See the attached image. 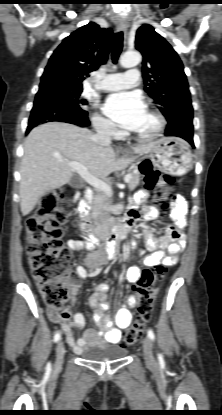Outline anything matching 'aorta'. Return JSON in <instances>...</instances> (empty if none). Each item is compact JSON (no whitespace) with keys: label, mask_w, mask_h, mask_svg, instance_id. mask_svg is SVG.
Masks as SVG:
<instances>
[{"label":"aorta","mask_w":222,"mask_h":415,"mask_svg":"<svg viewBox=\"0 0 222 415\" xmlns=\"http://www.w3.org/2000/svg\"><path fill=\"white\" fill-rule=\"evenodd\" d=\"M142 60L140 53L138 52H127L120 60L121 66L125 68H131L137 66Z\"/></svg>","instance_id":"762f6f07"}]
</instances>
